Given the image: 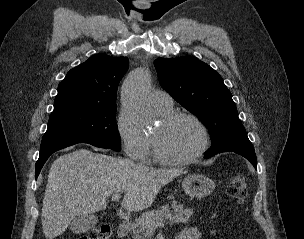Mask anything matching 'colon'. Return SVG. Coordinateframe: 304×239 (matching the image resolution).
<instances>
[{
  "label": "colon",
  "instance_id": "colon-1",
  "mask_svg": "<svg viewBox=\"0 0 304 239\" xmlns=\"http://www.w3.org/2000/svg\"><path fill=\"white\" fill-rule=\"evenodd\" d=\"M227 194L237 205H242L247 197V178L244 174H236L228 182ZM111 230L108 225H102L81 235L78 239H110Z\"/></svg>",
  "mask_w": 304,
  "mask_h": 239
}]
</instances>
